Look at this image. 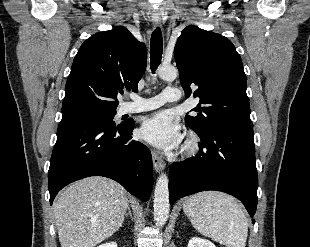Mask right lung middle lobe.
Wrapping results in <instances>:
<instances>
[{"label":"right lung middle lobe","mask_w":310,"mask_h":247,"mask_svg":"<svg viewBox=\"0 0 310 247\" xmlns=\"http://www.w3.org/2000/svg\"><path fill=\"white\" fill-rule=\"evenodd\" d=\"M115 114L116 109H103L97 107H76L62 111V120L77 119V118H108L113 122V117Z\"/></svg>","instance_id":"1"}]
</instances>
